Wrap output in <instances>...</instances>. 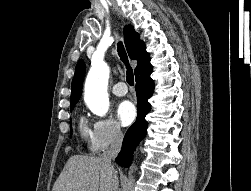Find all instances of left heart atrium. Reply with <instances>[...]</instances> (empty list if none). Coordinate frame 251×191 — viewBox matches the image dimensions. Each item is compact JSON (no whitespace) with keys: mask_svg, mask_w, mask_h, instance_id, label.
Masks as SVG:
<instances>
[{"mask_svg":"<svg viewBox=\"0 0 251 191\" xmlns=\"http://www.w3.org/2000/svg\"><path fill=\"white\" fill-rule=\"evenodd\" d=\"M116 114L120 124L127 126L134 120L136 109L132 102L125 100L118 104Z\"/></svg>","mask_w":251,"mask_h":191,"instance_id":"39dd6f15","label":"left heart atrium"}]
</instances>
